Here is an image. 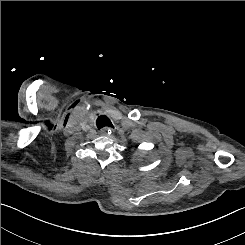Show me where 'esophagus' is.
Instances as JSON below:
<instances>
[{
  "instance_id": "34e87169",
  "label": "esophagus",
  "mask_w": 245,
  "mask_h": 245,
  "mask_svg": "<svg viewBox=\"0 0 245 245\" xmlns=\"http://www.w3.org/2000/svg\"><path fill=\"white\" fill-rule=\"evenodd\" d=\"M111 131H114V129L113 128L106 127V128H103L100 131V133H101V135H107V134L111 133Z\"/></svg>"
}]
</instances>
